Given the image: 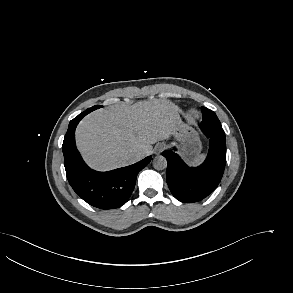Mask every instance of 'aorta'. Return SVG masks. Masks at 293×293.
<instances>
[{
    "label": "aorta",
    "instance_id": "obj_1",
    "mask_svg": "<svg viewBox=\"0 0 293 293\" xmlns=\"http://www.w3.org/2000/svg\"><path fill=\"white\" fill-rule=\"evenodd\" d=\"M153 166L155 169L157 170H163L167 167V160L165 157L163 156H156L154 159H153Z\"/></svg>",
    "mask_w": 293,
    "mask_h": 293
}]
</instances>
